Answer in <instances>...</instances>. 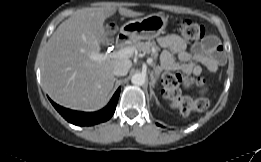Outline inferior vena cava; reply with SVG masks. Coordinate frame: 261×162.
Masks as SVG:
<instances>
[{
	"label": "inferior vena cava",
	"mask_w": 261,
	"mask_h": 162,
	"mask_svg": "<svg viewBox=\"0 0 261 162\" xmlns=\"http://www.w3.org/2000/svg\"><path fill=\"white\" fill-rule=\"evenodd\" d=\"M132 63L131 61H122L116 63V65L113 68V74L115 76H125L127 75Z\"/></svg>",
	"instance_id": "inferior-vena-cava-1"
}]
</instances>
